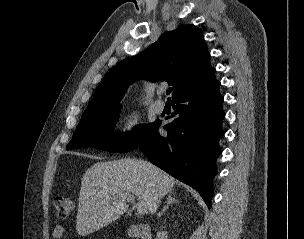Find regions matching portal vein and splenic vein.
I'll list each match as a JSON object with an SVG mask.
<instances>
[{"instance_id":"obj_1","label":"portal vein and splenic vein","mask_w":304,"mask_h":239,"mask_svg":"<svg viewBox=\"0 0 304 239\" xmlns=\"http://www.w3.org/2000/svg\"><path fill=\"white\" fill-rule=\"evenodd\" d=\"M113 199H119L121 200L122 202L123 201H126V202H133L135 200V197L131 194V193H119L117 195H114L113 196ZM137 206V213L139 215H144L146 212H147V207H146V204L143 203V202H138L136 204Z\"/></svg>"}]
</instances>
